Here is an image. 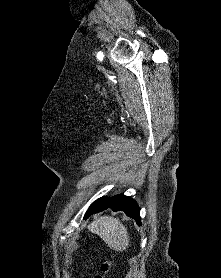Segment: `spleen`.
I'll list each match as a JSON object with an SVG mask.
<instances>
[{"instance_id":"spleen-1","label":"spleen","mask_w":221,"mask_h":278,"mask_svg":"<svg viewBox=\"0 0 221 278\" xmlns=\"http://www.w3.org/2000/svg\"><path fill=\"white\" fill-rule=\"evenodd\" d=\"M88 229L115 251H125L130 244L127 228L117 218L102 216L88 225Z\"/></svg>"}]
</instances>
